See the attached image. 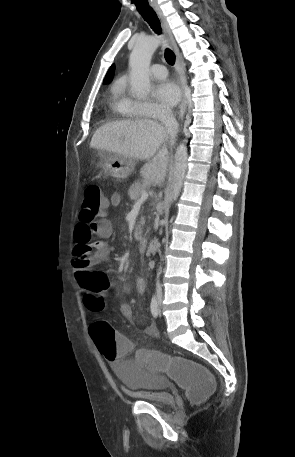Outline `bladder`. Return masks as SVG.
Here are the masks:
<instances>
[{
    "mask_svg": "<svg viewBox=\"0 0 295 457\" xmlns=\"http://www.w3.org/2000/svg\"><path fill=\"white\" fill-rule=\"evenodd\" d=\"M112 369L126 389L139 393L153 404L165 405L166 410L172 409L174 397L165 389L168 381L166 375L147 374V371H143L142 365L125 366L123 361L112 363Z\"/></svg>",
    "mask_w": 295,
    "mask_h": 457,
    "instance_id": "bladder-1",
    "label": "bladder"
}]
</instances>
